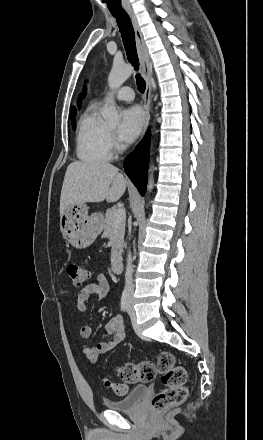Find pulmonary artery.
Segmentation results:
<instances>
[{"instance_id":"1","label":"pulmonary artery","mask_w":263,"mask_h":440,"mask_svg":"<svg viewBox=\"0 0 263 440\" xmlns=\"http://www.w3.org/2000/svg\"><path fill=\"white\" fill-rule=\"evenodd\" d=\"M114 98L119 101H132L134 99V91L129 86H123L115 92Z\"/></svg>"}]
</instances>
